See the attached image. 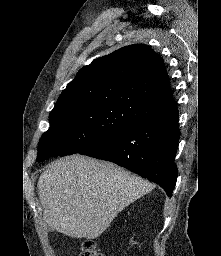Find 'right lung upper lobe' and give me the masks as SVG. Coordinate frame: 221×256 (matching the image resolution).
I'll return each instance as SVG.
<instances>
[{
    "instance_id": "cb5924a9",
    "label": "right lung upper lobe",
    "mask_w": 221,
    "mask_h": 256,
    "mask_svg": "<svg viewBox=\"0 0 221 256\" xmlns=\"http://www.w3.org/2000/svg\"><path fill=\"white\" fill-rule=\"evenodd\" d=\"M101 104L119 106L142 119L175 109L159 55L134 44L95 59L67 85L52 112Z\"/></svg>"
}]
</instances>
